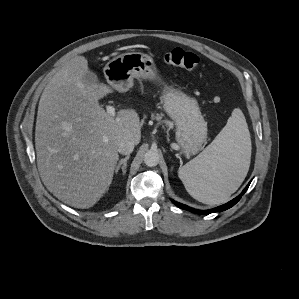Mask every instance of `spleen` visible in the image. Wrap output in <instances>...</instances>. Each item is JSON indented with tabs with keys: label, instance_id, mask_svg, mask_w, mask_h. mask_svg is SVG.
Returning a JSON list of instances; mask_svg holds the SVG:
<instances>
[{
	"label": "spleen",
	"instance_id": "1",
	"mask_svg": "<svg viewBox=\"0 0 299 299\" xmlns=\"http://www.w3.org/2000/svg\"><path fill=\"white\" fill-rule=\"evenodd\" d=\"M251 139L243 112L236 108L227 124L197 157L182 166L187 192L205 204L226 202L244 181L250 166Z\"/></svg>",
	"mask_w": 299,
	"mask_h": 299
}]
</instances>
